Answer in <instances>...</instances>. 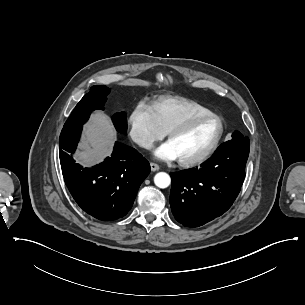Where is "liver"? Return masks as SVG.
<instances>
[{"mask_svg":"<svg viewBox=\"0 0 305 305\" xmlns=\"http://www.w3.org/2000/svg\"><path fill=\"white\" fill-rule=\"evenodd\" d=\"M115 133L109 119L103 114H95L86 127L85 141L80 146L82 152L77 154L78 160L85 165L99 161L110 152Z\"/></svg>","mask_w":305,"mask_h":305,"instance_id":"1","label":"liver"}]
</instances>
